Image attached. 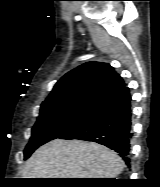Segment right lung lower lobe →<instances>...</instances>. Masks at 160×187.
<instances>
[{"instance_id":"98d812e1","label":"right lung lower lobe","mask_w":160,"mask_h":187,"mask_svg":"<svg viewBox=\"0 0 160 187\" xmlns=\"http://www.w3.org/2000/svg\"><path fill=\"white\" fill-rule=\"evenodd\" d=\"M131 96L124 86L98 101L90 113L60 139H79L102 144L116 151L129 166L131 159Z\"/></svg>"}]
</instances>
